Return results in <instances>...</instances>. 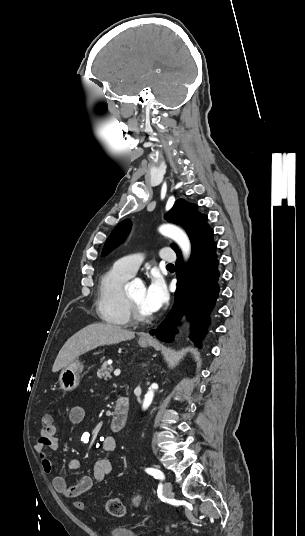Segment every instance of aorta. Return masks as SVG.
Segmentation results:
<instances>
[{"label": "aorta", "mask_w": 305, "mask_h": 536, "mask_svg": "<svg viewBox=\"0 0 305 536\" xmlns=\"http://www.w3.org/2000/svg\"><path fill=\"white\" fill-rule=\"evenodd\" d=\"M159 232L164 236L173 239L181 248L184 258H189L191 253V244L187 234L182 229L172 224H164L159 227ZM156 386V384H152L149 388V391L146 393L143 401V409H147L152 403L154 397V388Z\"/></svg>", "instance_id": "aorta-1"}]
</instances>
